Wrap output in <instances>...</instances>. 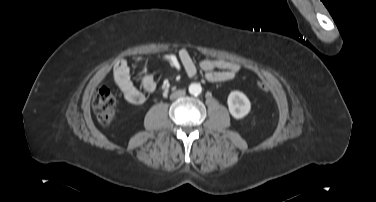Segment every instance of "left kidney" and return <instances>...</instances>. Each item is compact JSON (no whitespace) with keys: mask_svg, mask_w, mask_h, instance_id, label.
Segmentation results:
<instances>
[{"mask_svg":"<svg viewBox=\"0 0 376 202\" xmlns=\"http://www.w3.org/2000/svg\"><path fill=\"white\" fill-rule=\"evenodd\" d=\"M227 102L231 115L236 119L245 117L251 108L249 99L240 91L230 92Z\"/></svg>","mask_w":376,"mask_h":202,"instance_id":"1","label":"left kidney"}]
</instances>
